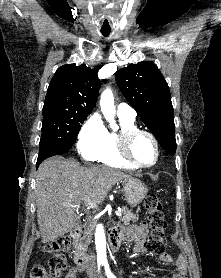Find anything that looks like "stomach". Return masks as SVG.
Here are the masks:
<instances>
[{
    "instance_id": "1",
    "label": "stomach",
    "mask_w": 221,
    "mask_h": 278,
    "mask_svg": "<svg viewBox=\"0 0 221 278\" xmlns=\"http://www.w3.org/2000/svg\"><path fill=\"white\" fill-rule=\"evenodd\" d=\"M122 183L127 203L131 207L139 205L148 192L147 186L139 179L132 177L125 178Z\"/></svg>"
}]
</instances>
